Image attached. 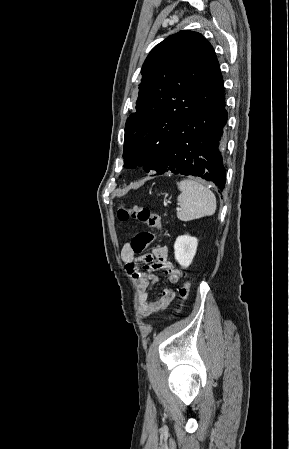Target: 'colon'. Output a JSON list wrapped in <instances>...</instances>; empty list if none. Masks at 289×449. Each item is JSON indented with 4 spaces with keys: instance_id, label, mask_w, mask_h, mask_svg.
<instances>
[{
    "instance_id": "1",
    "label": "colon",
    "mask_w": 289,
    "mask_h": 449,
    "mask_svg": "<svg viewBox=\"0 0 289 449\" xmlns=\"http://www.w3.org/2000/svg\"><path fill=\"white\" fill-rule=\"evenodd\" d=\"M120 221H127L129 219L137 220L140 223L146 224L150 228L159 231L158 235L150 232H140L134 236L131 241V246L135 254H140L150 243H152L162 232V222L158 214L152 213L145 206L134 205L132 207H126L122 205L117 213ZM190 293V283L188 280L184 281L183 285L179 289V294L182 299V304L178 309V312L183 307V304L187 301Z\"/></svg>"
}]
</instances>
